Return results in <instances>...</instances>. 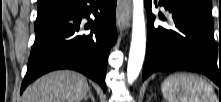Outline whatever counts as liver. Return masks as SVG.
Instances as JSON below:
<instances>
[{"mask_svg":"<svg viewBox=\"0 0 221 102\" xmlns=\"http://www.w3.org/2000/svg\"><path fill=\"white\" fill-rule=\"evenodd\" d=\"M87 79L74 71L60 70L36 80L23 94V102H81L89 90Z\"/></svg>","mask_w":221,"mask_h":102,"instance_id":"obj_1","label":"liver"}]
</instances>
